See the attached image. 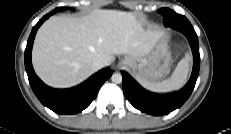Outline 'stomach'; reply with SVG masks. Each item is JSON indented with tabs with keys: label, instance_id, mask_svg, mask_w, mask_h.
Masks as SVG:
<instances>
[{
	"label": "stomach",
	"instance_id": "1",
	"mask_svg": "<svg viewBox=\"0 0 231 134\" xmlns=\"http://www.w3.org/2000/svg\"><path fill=\"white\" fill-rule=\"evenodd\" d=\"M122 64L139 81L161 79L172 64L168 35L164 34L146 54L140 57H126Z\"/></svg>",
	"mask_w": 231,
	"mask_h": 134
}]
</instances>
